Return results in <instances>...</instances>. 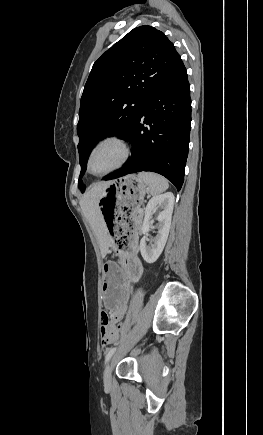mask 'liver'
<instances>
[{"mask_svg": "<svg viewBox=\"0 0 263 435\" xmlns=\"http://www.w3.org/2000/svg\"><path fill=\"white\" fill-rule=\"evenodd\" d=\"M112 181H103L90 187L80 200L81 209L89 221L94 234L99 242L102 258L108 252L110 240L108 229L103 220L98 202L101 194Z\"/></svg>", "mask_w": 263, "mask_h": 435, "instance_id": "1", "label": "liver"}]
</instances>
